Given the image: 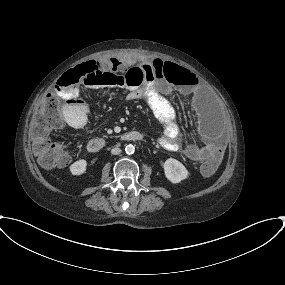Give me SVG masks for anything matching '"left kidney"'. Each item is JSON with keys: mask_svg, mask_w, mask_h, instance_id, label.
<instances>
[{"mask_svg": "<svg viewBox=\"0 0 285 285\" xmlns=\"http://www.w3.org/2000/svg\"><path fill=\"white\" fill-rule=\"evenodd\" d=\"M165 177L172 183H180L188 177L185 166L176 159L169 158L164 162Z\"/></svg>", "mask_w": 285, "mask_h": 285, "instance_id": "left-kidney-1", "label": "left kidney"}]
</instances>
